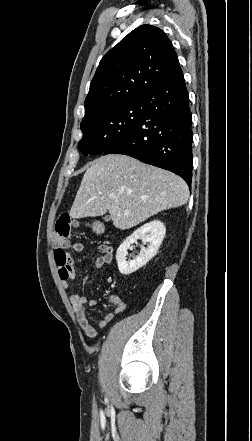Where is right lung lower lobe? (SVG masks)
Instances as JSON below:
<instances>
[{
	"instance_id": "right-lung-lower-lobe-1",
	"label": "right lung lower lobe",
	"mask_w": 252,
	"mask_h": 441,
	"mask_svg": "<svg viewBox=\"0 0 252 441\" xmlns=\"http://www.w3.org/2000/svg\"><path fill=\"white\" fill-rule=\"evenodd\" d=\"M138 124L103 154H124L181 176L191 186L192 115L180 66L144 94Z\"/></svg>"
}]
</instances>
